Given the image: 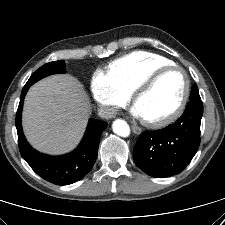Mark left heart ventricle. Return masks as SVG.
<instances>
[{"label": "left heart ventricle", "instance_id": "obj_1", "mask_svg": "<svg viewBox=\"0 0 225 225\" xmlns=\"http://www.w3.org/2000/svg\"><path fill=\"white\" fill-rule=\"evenodd\" d=\"M183 90L182 73L178 70H171L161 76L153 87L137 100L135 107L142 119L162 118L176 108Z\"/></svg>", "mask_w": 225, "mask_h": 225}]
</instances>
